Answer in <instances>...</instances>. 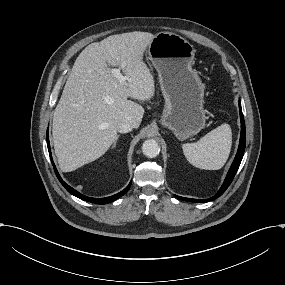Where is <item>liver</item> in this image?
I'll return each instance as SVG.
<instances>
[{
  "label": "liver",
  "mask_w": 285,
  "mask_h": 285,
  "mask_svg": "<svg viewBox=\"0 0 285 285\" xmlns=\"http://www.w3.org/2000/svg\"><path fill=\"white\" fill-rule=\"evenodd\" d=\"M154 38L147 32L113 35L90 44L78 56L53 114L55 153L62 171H75L102 157L117 141L119 122L139 127L144 109L131 100L147 102L156 96L155 78L145 62ZM116 67L126 80L112 74Z\"/></svg>",
  "instance_id": "liver-1"
}]
</instances>
